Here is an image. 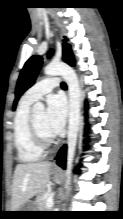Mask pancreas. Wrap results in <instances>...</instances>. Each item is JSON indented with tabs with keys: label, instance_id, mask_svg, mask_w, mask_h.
I'll return each instance as SVG.
<instances>
[{
	"label": "pancreas",
	"instance_id": "cf45deb5",
	"mask_svg": "<svg viewBox=\"0 0 123 219\" xmlns=\"http://www.w3.org/2000/svg\"><path fill=\"white\" fill-rule=\"evenodd\" d=\"M48 190H43L36 199L35 205L38 211H48L46 207V198L45 196L48 195Z\"/></svg>",
	"mask_w": 123,
	"mask_h": 219
}]
</instances>
